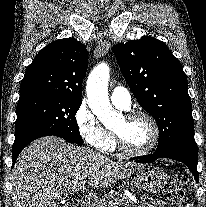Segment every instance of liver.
I'll return each mask as SVG.
<instances>
[{"mask_svg": "<svg viewBox=\"0 0 206 207\" xmlns=\"http://www.w3.org/2000/svg\"><path fill=\"white\" fill-rule=\"evenodd\" d=\"M140 166L115 162L90 148L56 136L34 140L20 153L12 172L14 207H59L61 195L88 182L104 188Z\"/></svg>", "mask_w": 206, "mask_h": 207, "instance_id": "obj_1", "label": "liver"}]
</instances>
